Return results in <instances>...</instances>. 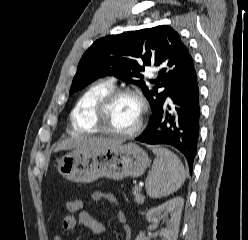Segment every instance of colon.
Listing matches in <instances>:
<instances>
[{
  "instance_id": "colon-1",
  "label": "colon",
  "mask_w": 248,
  "mask_h": 240,
  "mask_svg": "<svg viewBox=\"0 0 248 240\" xmlns=\"http://www.w3.org/2000/svg\"><path fill=\"white\" fill-rule=\"evenodd\" d=\"M84 206V201L80 198L69 199L65 204V209L68 214H77L82 211Z\"/></svg>"
}]
</instances>
